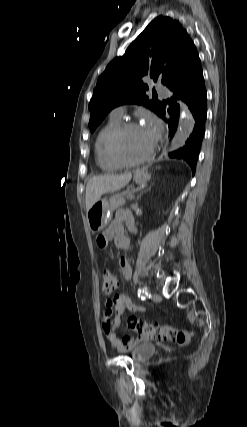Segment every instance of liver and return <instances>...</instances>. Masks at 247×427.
Returning <instances> with one entry per match:
<instances>
[{
	"instance_id": "obj_1",
	"label": "liver",
	"mask_w": 247,
	"mask_h": 427,
	"mask_svg": "<svg viewBox=\"0 0 247 427\" xmlns=\"http://www.w3.org/2000/svg\"><path fill=\"white\" fill-rule=\"evenodd\" d=\"M132 178L131 173L121 175H99L89 179L86 186V210L88 211L103 194L120 190Z\"/></svg>"
}]
</instances>
